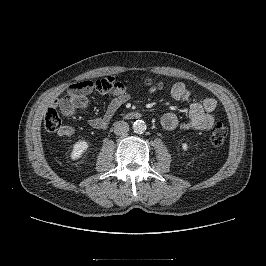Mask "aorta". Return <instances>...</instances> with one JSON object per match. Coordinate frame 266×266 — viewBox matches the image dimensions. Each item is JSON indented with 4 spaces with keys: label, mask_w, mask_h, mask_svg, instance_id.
I'll return each instance as SVG.
<instances>
[{
    "label": "aorta",
    "mask_w": 266,
    "mask_h": 266,
    "mask_svg": "<svg viewBox=\"0 0 266 266\" xmlns=\"http://www.w3.org/2000/svg\"><path fill=\"white\" fill-rule=\"evenodd\" d=\"M147 129L146 123L143 120H136L133 123V130L135 133L142 134Z\"/></svg>",
    "instance_id": "aorta-1"
}]
</instances>
